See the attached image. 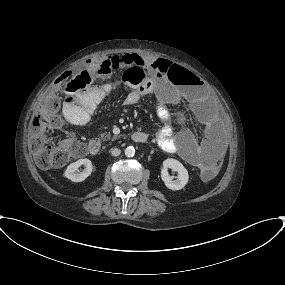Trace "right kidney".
<instances>
[{
	"mask_svg": "<svg viewBox=\"0 0 285 285\" xmlns=\"http://www.w3.org/2000/svg\"><path fill=\"white\" fill-rule=\"evenodd\" d=\"M84 165L85 169L83 172L79 173L78 168ZM92 172V162L89 159H79L71 163L65 170V177L70 179L73 182H82L84 181Z\"/></svg>",
	"mask_w": 285,
	"mask_h": 285,
	"instance_id": "1",
	"label": "right kidney"
}]
</instances>
